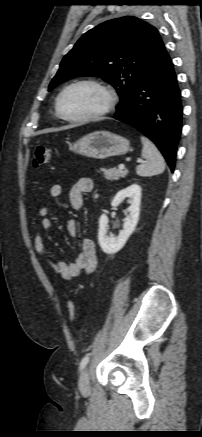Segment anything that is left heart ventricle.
Returning <instances> with one entry per match:
<instances>
[{
	"mask_svg": "<svg viewBox=\"0 0 202 437\" xmlns=\"http://www.w3.org/2000/svg\"><path fill=\"white\" fill-rule=\"evenodd\" d=\"M105 101V95L99 89L90 85H80L66 92L61 107L67 116L78 117L99 110Z\"/></svg>",
	"mask_w": 202,
	"mask_h": 437,
	"instance_id": "left-heart-ventricle-1",
	"label": "left heart ventricle"
}]
</instances>
